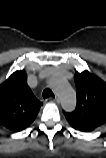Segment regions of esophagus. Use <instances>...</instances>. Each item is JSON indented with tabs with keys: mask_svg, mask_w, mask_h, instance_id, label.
I'll use <instances>...</instances> for the list:
<instances>
[{
	"mask_svg": "<svg viewBox=\"0 0 106 158\" xmlns=\"http://www.w3.org/2000/svg\"><path fill=\"white\" fill-rule=\"evenodd\" d=\"M47 101H49V102H56V103H58V97H57V96H55L54 98L49 97V98L47 99Z\"/></svg>",
	"mask_w": 106,
	"mask_h": 158,
	"instance_id": "34e87169",
	"label": "esophagus"
}]
</instances>
